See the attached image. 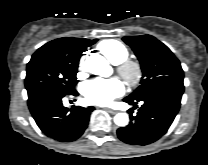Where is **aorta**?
Masks as SVG:
<instances>
[{
  "label": "aorta",
  "instance_id": "762f6f07",
  "mask_svg": "<svg viewBox=\"0 0 208 165\" xmlns=\"http://www.w3.org/2000/svg\"><path fill=\"white\" fill-rule=\"evenodd\" d=\"M86 69L95 75L107 76L109 74L110 67L107 60L99 55L93 54L86 58ZM114 122L120 127H124L129 123V116L126 113H118L114 116Z\"/></svg>",
  "mask_w": 208,
  "mask_h": 165
}]
</instances>
